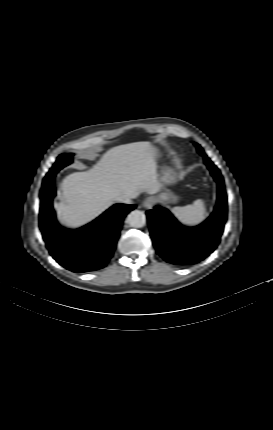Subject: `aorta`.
Segmentation results:
<instances>
[{
	"instance_id": "aorta-1",
	"label": "aorta",
	"mask_w": 273,
	"mask_h": 430,
	"mask_svg": "<svg viewBox=\"0 0 273 430\" xmlns=\"http://www.w3.org/2000/svg\"><path fill=\"white\" fill-rule=\"evenodd\" d=\"M146 215L139 210H133L127 217L126 222L134 228H141L146 224Z\"/></svg>"
}]
</instances>
